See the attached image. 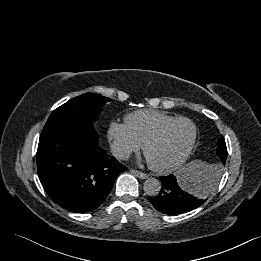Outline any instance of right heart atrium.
Returning <instances> with one entry per match:
<instances>
[{
    "mask_svg": "<svg viewBox=\"0 0 261 261\" xmlns=\"http://www.w3.org/2000/svg\"><path fill=\"white\" fill-rule=\"evenodd\" d=\"M107 138L112 152L120 159H127L141 148V144L124 123L111 122L107 128Z\"/></svg>",
    "mask_w": 261,
    "mask_h": 261,
    "instance_id": "right-heart-atrium-1",
    "label": "right heart atrium"
}]
</instances>
